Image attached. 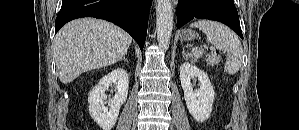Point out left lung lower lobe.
<instances>
[{
    "label": "left lung lower lobe",
    "mask_w": 299,
    "mask_h": 130,
    "mask_svg": "<svg viewBox=\"0 0 299 130\" xmlns=\"http://www.w3.org/2000/svg\"><path fill=\"white\" fill-rule=\"evenodd\" d=\"M177 17L178 29L193 18L210 19L224 23L243 38L233 0H179Z\"/></svg>",
    "instance_id": "1"
}]
</instances>
